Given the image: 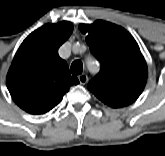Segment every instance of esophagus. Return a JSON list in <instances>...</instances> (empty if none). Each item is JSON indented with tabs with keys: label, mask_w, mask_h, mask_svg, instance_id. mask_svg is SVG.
Returning a JSON list of instances; mask_svg holds the SVG:
<instances>
[{
	"label": "esophagus",
	"mask_w": 165,
	"mask_h": 156,
	"mask_svg": "<svg viewBox=\"0 0 165 156\" xmlns=\"http://www.w3.org/2000/svg\"><path fill=\"white\" fill-rule=\"evenodd\" d=\"M80 84L84 85L88 82V76L86 74H81L78 76Z\"/></svg>",
	"instance_id": "obj_1"
}]
</instances>
